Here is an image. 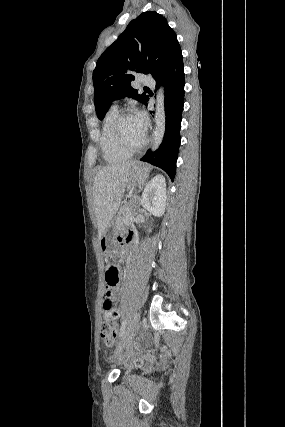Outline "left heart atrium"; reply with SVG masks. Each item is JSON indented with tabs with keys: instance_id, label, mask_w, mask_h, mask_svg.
<instances>
[{
	"instance_id": "39dd6f15",
	"label": "left heart atrium",
	"mask_w": 285,
	"mask_h": 427,
	"mask_svg": "<svg viewBox=\"0 0 285 427\" xmlns=\"http://www.w3.org/2000/svg\"><path fill=\"white\" fill-rule=\"evenodd\" d=\"M136 118H137V120H138V122L140 124V127L143 130V132L146 134V131H147V128H148V121H147V118H146L145 114L144 113H140V114H138L136 116Z\"/></svg>"
}]
</instances>
